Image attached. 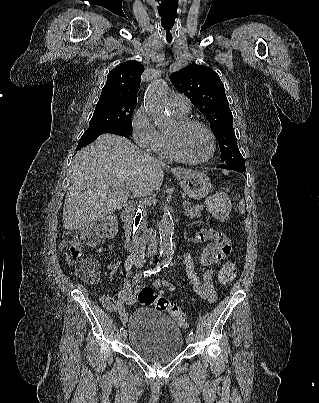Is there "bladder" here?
Wrapping results in <instances>:
<instances>
[{"instance_id":"31cf9c89","label":"bladder","mask_w":319,"mask_h":403,"mask_svg":"<svg viewBox=\"0 0 319 403\" xmlns=\"http://www.w3.org/2000/svg\"><path fill=\"white\" fill-rule=\"evenodd\" d=\"M130 348L143 360L162 365L183 350V334L168 315L150 308L137 309L127 320Z\"/></svg>"}]
</instances>
